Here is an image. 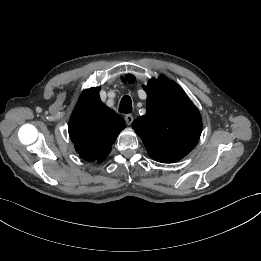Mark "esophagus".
<instances>
[{
    "instance_id": "esophagus-1",
    "label": "esophagus",
    "mask_w": 261,
    "mask_h": 261,
    "mask_svg": "<svg viewBox=\"0 0 261 261\" xmlns=\"http://www.w3.org/2000/svg\"><path fill=\"white\" fill-rule=\"evenodd\" d=\"M133 116L131 115V114H127L126 116H125V122H126V124L127 125H131L132 124V122H133Z\"/></svg>"
}]
</instances>
